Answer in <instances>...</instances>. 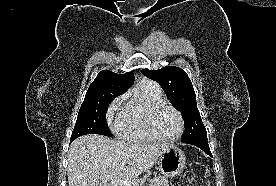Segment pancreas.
I'll return each instance as SVG.
<instances>
[{
  "instance_id": "1",
  "label": "pancreas",
  "mask_w": 276,
  "mask_h": 186,
  "mask_svg": "<svg viewBox=\"0 0 276 186\" xmlns=\"http://www.w3.org/2000/svg\"><path fill=\"white\" fill-rule=\"evenodd\" d=\"M149 186H169L166 176L159 175L150 181Z\"/></svg>"
}]
</instances>
